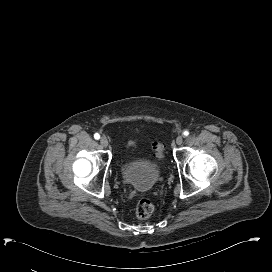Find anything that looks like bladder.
<instances>
[{"label": "bladder", "mask_w": 272, "mask_h": 272, "mask_svg": "<svg viewBox=\"0 0 272 272\" xmlns=\"http://www.w3.org/2000/svg\"><path fill=\"white\" fill-rule=\"evenodd\" d=\"M120 172L123 180L136 189L150 190L161 179L158 166L146 160H135L121 165Z\"/></svg>", "instance_id": "bladder-1"}]
</instances>
